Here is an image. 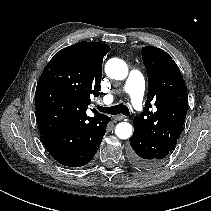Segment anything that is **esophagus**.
<instances>
[{"label": "esophagus", "instance_id": "obj_1", "mask_svg": "<svg viewBox=\"0 0 211 211\" xmlns=\"http://www.w3.org/2000/svg\"><path fill=\"white\" fill-rule=\"evenodd\" d=\"M125 118H126V116H124V115H117L114 117V120L121 121V120H124Z\"/></svg>", "mask_w": 211, "mask_h": 211}]
</instances>
